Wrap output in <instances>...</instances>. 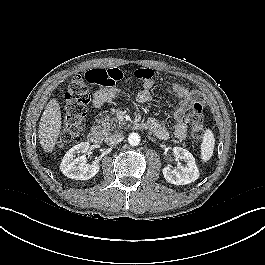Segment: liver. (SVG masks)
Segmentation results:
<instances>
[{"label": "liver", "mask_w": 265, "mask_h": 265, "mask_svg": "<svg viewBox=\"0 0 265 265\" xmlns=\"http://www.w3.org/2000/svg\"><path fill=\"white\" fill-rule=\"evenodd\" d=\"M61 120L60 105L56 99H52L42 114L38 130L40 144L47 153H51L57 144Z\"/></svg>", "instance_id": "liver-1"}]
</instances>
